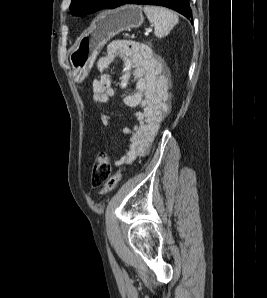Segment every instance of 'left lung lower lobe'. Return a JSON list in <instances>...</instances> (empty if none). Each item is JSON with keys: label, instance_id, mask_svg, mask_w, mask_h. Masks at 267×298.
Returning a JSON list of instances; mask_svg holds the SVG:
<instances>
[{"label": "left lung lower lobe", "instance_id": "obj_1", "mask_svg": "<svg viewBox=\"0 0 267 298\" xmlns=\"http://www.w3.org/2000/svg\"><path fill=\"white\" fill-rule=\"evenodd\" d=\"M124 4H145V5H159L171 8L186 18L192 16L189 6V0H119L117 7Z\"/></svg>", "mask_w": 267, "mask_h": 298}]
</instances>
